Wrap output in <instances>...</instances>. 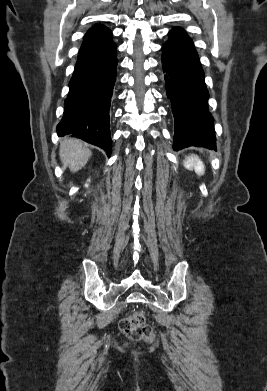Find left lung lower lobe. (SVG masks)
Returning a JSON list of instances; mask_svg holds the SVG:
<instances>
[{
	"instance_id": "left-lung-lower-lobe-1",
	"label": "left lung lower lobe",
	"mask_w": 267,
	"mask_h": 391,
	"mask_svg": "<svg viewBox=\"0 0 267 391\" xmlns=\"http://www.w3.org/2000/svg\"><path fill=\"white\" fill-rule=\"evenodd\" d=\"M162 66L168 72L166 93L174 115V150L189 146L215 149L213 119L208 109L209 93L193 41L173 28L162 46Z\"/></svg>"
}]
</instances>
